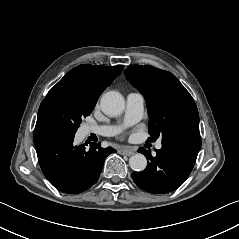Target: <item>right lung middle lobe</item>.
Returning a JSON list of instances; mask_svg holds the SVG:
<instances>
[{"mask_svg":"<svg viewBox=\"0 0 239 239\" xmlns=\"http://www.w3.org/2000/svg\"><path fill=\"white\" fill-rule=\"evenodd\" d=\"M95 104L77 96L64 86L55 85L40 105L36 126L60 125L76 132L82 118L92 112Z\"/></svg>","mask_w":239,"mask_h":239,"instance_id":"1","label":"right lung middle lobe"}]
</instances>
